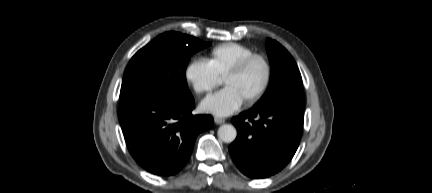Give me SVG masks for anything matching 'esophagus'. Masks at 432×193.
Masks as SVG:
<instances>
[{
	"mask_svg": "<svg viewBox=\"0 0 432 193\" xmlns=\"http://www.w3.org/2000/svg\"><path fill=\"white\" fill-rule=\"evenodd\" d=\"M215 121H216V122H222L223 120H222V119H219V118H215Z\"/></svg>",
	"mask_w": 432,
	"mask_h": 193,
	"instance_id": "34e87169",
	"label": "esophagus"
}]
</instances>
